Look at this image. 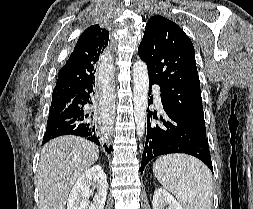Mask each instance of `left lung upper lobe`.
I'll return each mask as SVG.
<instances>
[{"label":"left lung upper lobe","instance_id":"5c2ea615","mask_svg":"<svg viewBox=\"0 0 253 209\" xmlns=\"http://www.w3.org/2000/svg\"><path fill=\"white\" fill-rule=\"evenodd\" d=\"M138 55L147 64L149 79L160 86L163 104L187 126L206 135L190 38L171 20L155 15L146 24Z\"/></svg>","mask_w":253,"mask_h":209}]
</instances>
